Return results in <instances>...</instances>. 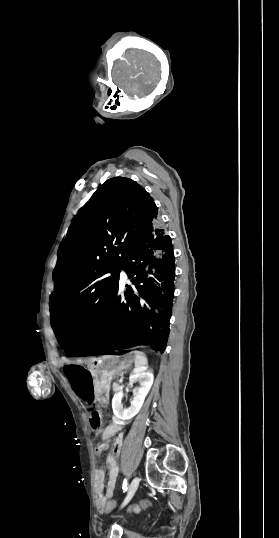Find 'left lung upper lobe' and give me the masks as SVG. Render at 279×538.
I'll return each mask as SVG.
<instances>
[{"mask_svg":"<svg viewBox=\"0 0 279 538\" xmlns=\"http://www.w3.org/2000/svg\"><path fill=\"white\" fill-rule=\"evenodd\" d=\"M156 220L153 198L124 177L107 180L80 209L57 252L50 302L56 337L94 331L119 285L126 258Z\"/></svg>","mask_w":279,"mask_h":538,"instance_id":"left-lung-upper-lobe-1","label":"left lung upper lobe"}]
</instances>
